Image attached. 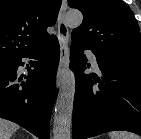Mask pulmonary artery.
Wrapping results in <instances>:
<instances>
[{"mask_svg":"<svg viewBox=\"0 0 141 139\" xmlns=\"http://www.w3.org/2000/svg\"><path fill=\"white\" fill-rule=\"evenodd\" d=\"M86 54L92 64V66L95 68V69H98V63H97V60H96V56L90 51V50H87L86 51Z\"/></svg>","mask_w":141,"mask_h":139,"instance_id":"obj_1","label":"pulmonary artery"}]
</instances>
